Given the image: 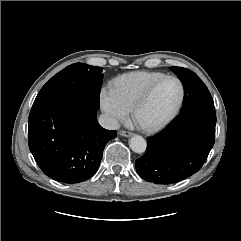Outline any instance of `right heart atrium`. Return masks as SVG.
Returning <instances> with one entry per match:
<instances>
[{"label":"right heart atrium","mask_w":241,"mask_h":241,"mask_svg":"<svg viewBox=\"0 0 241 241\" xmlns=\"http://www.w3.org/2000/svg\"><path fill=\"white\" fill-rule=\"evenodd\" d=\"M99 103L107 122L113 127H116L129 114V109L121 103L111 88L101 89Z\"/></svg>","instance_id":"obj_1"}]
</instances>
